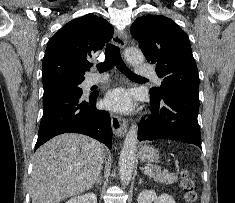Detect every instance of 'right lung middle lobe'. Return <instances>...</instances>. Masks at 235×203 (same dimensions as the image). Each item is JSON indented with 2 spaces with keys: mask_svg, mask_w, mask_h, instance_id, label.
I'll return each mask as SVG.
<instances>
[{
  "mask_svg": "<svg viewBox=\"0 0 235 203\" xmlns=\"http://www.w3.org/2000/svg\"><path fill=\"white\" fill-rule=\"evenodd\" d=\"M81 83L82 81H68L44 85L43 103L71 93L82 94V89L79 87Z\"/></svg>",
  "mask_w": 235,
  "mask_h": 203,
  "instance_id": "obj_1",
  "label": "right lung middle lobe"
}]
</instances>
